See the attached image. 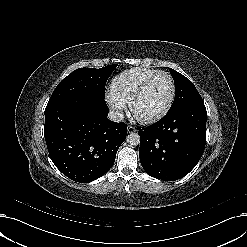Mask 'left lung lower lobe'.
Wrapping results in <instances>:
<instances>
[{"mask_svg":"<svg viewBox=\"0 0 247 247\" xmlns=\"http://www.w3.org/2000/svg\"><path fill=\"white\" fill-rule=\"evenodd\" d=\"M206 120L207 111L199 98L140 129L139 156L146 173L164 181L186 176L203 154Z\"/></svg>","mask_w":247,"mask_h":247,"instance_id":"left-lung-lower-lobe-1","label":"left lung lower lobe"}]
</instances>
